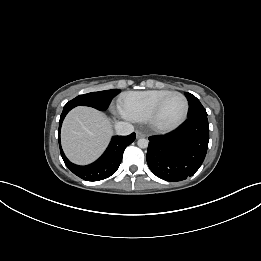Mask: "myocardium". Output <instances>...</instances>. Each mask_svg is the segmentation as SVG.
<instances>
[{"label": "myocardium", "instance_id": "obj_1", "mask_svg": "<svg viewBox=\"0 0 261 261\" xmlns=\"http://www.w3.org/2000/svg\"><path fill=\"white\" fill-rule=\"evenodd\" d=\"M172 95H178L180 96L183 101H184V111L182 113V116L179 118V120H177L175 123L171 124V125H159L156 123V115L158 113L159 108L161 107L162 103L170 96ZM188 111H189V102L188 99L186 98V96L178 91H170L168 93H166L165 95H163L161 98H159L155 104L152 106V108L150 109V111L147 114V117L145 119V121L147 122V124L155 131L157 132H170L175 130L176 128H178L180 125H182L184 123V121L187 118L188 115Z\"/></svg>", "mask_w": 261, "mask_h": 261}]
</instances>
